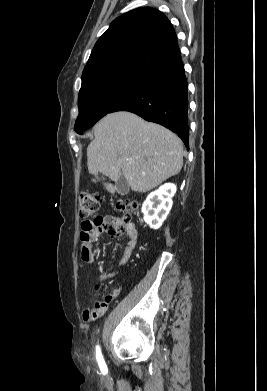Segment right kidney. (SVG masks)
I'll return each mask as SVG.
<instances>
[{"label": "right kidney", "mask_w": 267, "mask_h": 391, "mask_svg": "<svg viewBox=\"0 0 267 391\" xmlns=\"http://www.w3.org/2000/svg\"><path fill=\"white\" fill-rule=\"evenodd\" d=\"M176 193V186L167 183L151 192L142 205L144 221L152 228L158 229L166 219L172 207V197Z\"/></svg>", "instance_id": "obj_1"}]
</instances>
